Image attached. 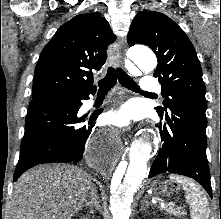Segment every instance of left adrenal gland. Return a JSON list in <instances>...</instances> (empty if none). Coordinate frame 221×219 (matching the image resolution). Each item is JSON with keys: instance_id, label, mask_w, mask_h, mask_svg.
Here are the masks:
<instances>
[{"instance_id": "obj_1", "label": "left adrenal gland", "mask_w": 221, "mask_h": 219, "mask_svg": "<svg viewBox=\"0 0 221 219\" xmlns=\"http://www.w3.org/2000/svg\"><path fill=\"white\" fill-rule=\"evenodd\" d=\"M142 205H144L145 204V201H142V203H141Z\"/></svg>"}]
</instances>
